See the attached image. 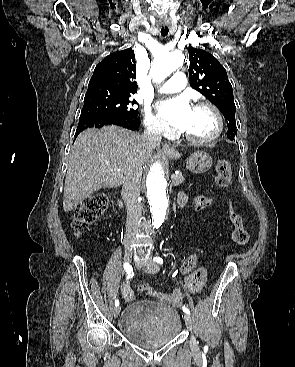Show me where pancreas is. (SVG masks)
Wrapping results in <instances>:
<instances>
[{"instance_id": "obj_1", "label": "pancreas", "mask_w": 295, "mask_h": 367, "mask_svg": "<svg viewBox=\"0 0 295 367\" xmlns=\"http://www.w3.org/2000/svg\"><path fill=\"white\" fill-rule=\"evenodd\" d=\"M184 181V177L182 174L174 175V178H172V184L174 186L180 185Z\"/></svg>"}]
</instances>
